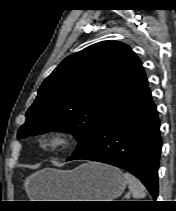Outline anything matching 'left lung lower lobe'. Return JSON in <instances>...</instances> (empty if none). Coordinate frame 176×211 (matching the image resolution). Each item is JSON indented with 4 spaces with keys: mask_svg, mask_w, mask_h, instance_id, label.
Masks as SVG:
<instances>
[{
    "mask_svg": "<svg viewBox=\"0 0 176 211\" xmlns=\"http://www.w3.org/2000/svg\"><path fill=\"white\" fill-rule=\"evenodd\" d=\"M159 128L156 106L148 88L112 113L89 147L72 159L123 168L140 179L156 199L162 146Z\"/></svg>",
    "mask_w": 176,
    "mask_h": 211,
    "instance_id": "0a47b994",
    "label": "left lung lower lobe"
}]
</instances>
